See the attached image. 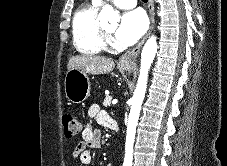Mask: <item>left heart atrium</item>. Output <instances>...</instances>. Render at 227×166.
Returning a JSON list of instances; mask_svg holds the SVG:
<instances>
[{
  "instance_id": "obj_1",
  "label": "left heart atrium",
  "mask_w": 227,
  "mask_h": 166,
  "mask_svg": "<svg viewBox=\"0 0 227 166\" xmlns=\"http://www.w3.org/2000/svg\"><path fill=\"white\" fill-rule=\"evenodd\" d=\"M148 19L140 10H132L123 14L116 29V40L123 45L134 44L146 31Z\"/></svg>"
}]
</instances>
